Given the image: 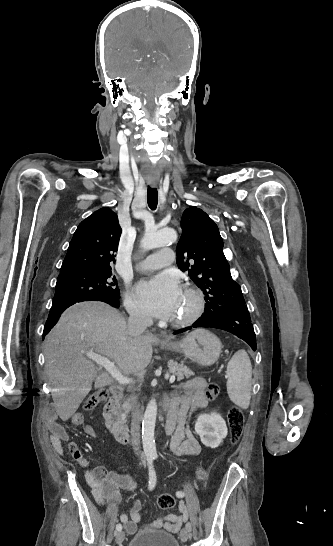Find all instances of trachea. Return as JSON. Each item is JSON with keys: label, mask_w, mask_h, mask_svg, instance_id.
<instances>
[{"label": "trachea", "mask_w": 333, "mask_h": 546, "mask_svg": "<svg viewBox=\"0 0 333 546\" xmlns=\"http://www.w3.org/2000/svg\"><path fill=\"white\" fill-rule=\"evenodd\" d=\"M147 202L151 210H155L158 204V192L156 188L148 186Z\"/></svg>", "instance_id": "1"}]
</instances>
